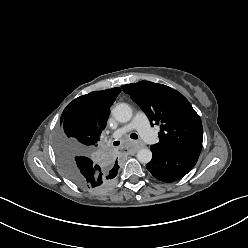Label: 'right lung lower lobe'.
<instances>
[{"mask_svg":"<svg viewBox=\"0 0 248 248\" xmlns=\"http://www.w3.org/2000/svg\"><path fill=\"white\" fill-rule=\"evenodd\" d=\"M76 158H80V160H77V163H82L84 158H87L85 156H77ZM89 159V158H88Z\"/></svg>","mask_w":248,"mask_h":248,"instance_id":"98d812e1","label":"right lung lower lobe"}]
</instances>
